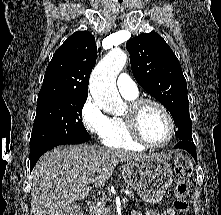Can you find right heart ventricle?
Listing matches in <instances>:
<instances>
[{
	"mask_svg": "<svg viewBox=\"0 0 221 215\" xmlns=\"http://www.w3.org/2000/svg\"><path fill=\"white\" fill-rule=\"evenodd\" d=\"M123 96L127 100L132 101L136 99L138 95ZM102 139L106 146L112 148H118L127 151H141L145 148L137 141H135L131 136L128 125L123 116H112L109 119V130Z\"/></svg>",
	"mask_w": 221,
	"mask_h": 215,
	"instance_id": "1",
	"label": "right heart ventricle"
}]
</instances>
